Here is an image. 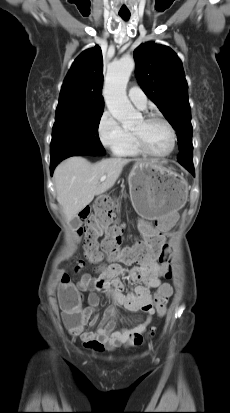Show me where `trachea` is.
I'll return each mask as SVG.
<instances>
[{
	"instance_id": "obj_1",
	"label": "trachea",
	"mask_w": 230,
	"mask_h": 413,
	"mask_svg": "<svg viewBox=\"0 0 230 413\" xmlns=\"http://www.w3.org/2000/svg\"><path fill=\"white\" fill-rule=\"evenodd\" d=\"M119 16H120L123 20L127 21V20L130 18V13H119Z\"/></svg>"
}]
</instances>
